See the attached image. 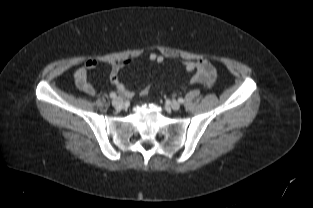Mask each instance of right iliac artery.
I'll list each match as a JSON object with an SVG mask.
<instances>
[{
  "instance_id": "1",
  "label": "right iliac artery",
  "mask_w": 313,
  "mask_h": 208,
  "mask_svg": "<svg viewBox=\"0 0 313 208\" xmlns=\"http://www.w3.org/2000/svg\"><path fill=\"white\" fill-rule=\"evenodd\" d=\"M110 97L114 99L117 97V94L115 92H112V93H110Z\"/></svg>"
}]
</instances>
